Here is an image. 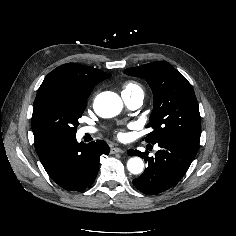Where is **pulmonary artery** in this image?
<instances>
[{
	"mask_svg": "<svg viewBox=\"0 0 236 236\" xmlns=\"http://www.w3.org/2000/svg\"><path fill=\"white\" fill-rule=\"evenodd\" d=\"M122 97H123L125 103L131 109H137L142 105L144 95H143V93H136L133 95L122 94ZM95 132H96V129H94L93 127H83L80 129L79 134L81 136H83L85 134H93Z\"/></svg>",
	"mask_w": 236,
	"mask_h": 236,
	"instance_id": "pulmonary-artery-1",
	"label": "pulmonary artery"
}]
</instances>
